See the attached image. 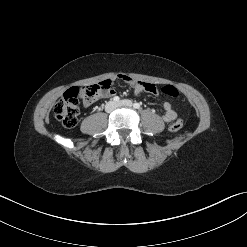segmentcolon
<instances>
[{
    "label": "colon",
    "mask_w": 247,
    "mask_h": 247,
    "mask_svg": "<svg viewBox=\"0 0 247 247\" xmlns=\"http://www.w3.org/2000/svg\"><path fill=\"white\" fill-rule=\"evenodd\" d=\"M112 85L111 80L107 79L99 83L87 86L82 91L79 88H71L67 90L63 96L58 100L54 107V116L65 127L71 128L76 125L79 115V96L82 93L88 100H96L101 93L108 90ZM162 92L170 97L178 98L179 91L172 85H165L162 87ZM183 122L180 119L175 120L170 130L178 132L182 129Z\"/></svg>",
    "instance_id": "obj_1"
}]
</instances>
